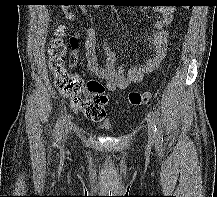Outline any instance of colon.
<instances>
[{
  "label": "colon",
  "mask_w": 217,
  "mask_h": 197,
  "mask_svg": "<svg viewBox=\"0 0 217 197\" xmlns=\"http://www.w3.org/2000/svg\"><path fill=\"white\" fill-rule=\"evenodd\" d=\"M65 37V27L58 25L48 47L49 65L56 87L72 109L82 112L90 120L102 121L106 117L108 101L105 88L97 81L84 83L78 75L67 69ZM151 98L152 95L148 92H131L127 101L133 106H139L148 103Z\"/></svg>",
  "instance_id": "colon-1"
}]
</instances>
